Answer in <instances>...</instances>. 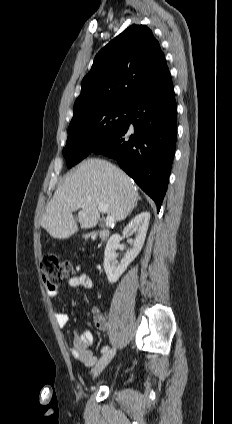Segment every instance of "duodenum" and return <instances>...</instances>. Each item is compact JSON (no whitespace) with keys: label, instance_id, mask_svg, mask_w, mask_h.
Wrapping results in <instances>:
<instances>
[{"label":"duodenum","instance_id":"obj_1","mask_svg":"<svg viewBox=\"0 0 232 424\" xmlns=\"http://www.w3.org/2000/svg\"><path fill=\"white\" fill-rule=\"evenodd\" d=\"M99 237L101 240H106L109 237V232L108 231H101L99 233Z\"/></svg>","mask_w":232,"mask_h":424}]
</instances>
